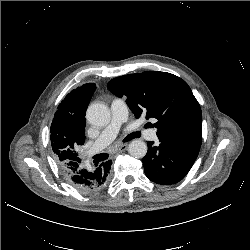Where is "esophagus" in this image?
<instances>
[{
    "instance_id": "esophagus-1",
    "label": "esophagus",
    "mask_w": 250,
    "mask_h": 250,
    "mask_svg": "<svg viewBox=\"0 0 250 250\" xmlns=\"http://www.w3.org/2000/svg\"><path fill=\"white\" fill-rule=\"evenodd\" d=\"M127 147H128V144L124 143V144L118 145L116 149H117L118 152H123V151H125L127 149Z\"/></svg>"
}]
</instances>
